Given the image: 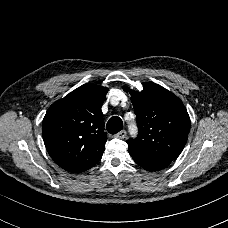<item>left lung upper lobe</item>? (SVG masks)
I'll return each mask as SVG.
<instances>
[{
    "instance_id": "obj_1",
    "label": "left lung upper lobe",
    "mask_w": 228,
    "mask_h": 228,
    "mask_svg": "<svg viewBox=\"0 0 228 228\" xmlns=\"http://www.w3.org/2000/svg\"><path fill=\"white\" fill-rule=\"evenodd\" d=\"M129 92L137 116L139 134L127 140L133 160L148 171L166 168L183 150L190 131V118L182 101L158 84L147 82Z\"/></svg>"
}]
</instances>
